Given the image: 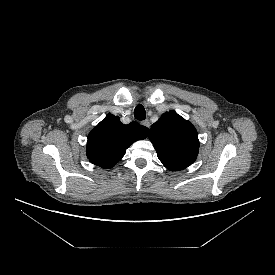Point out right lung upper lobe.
Wrapping results in <instances>:
<instances>
[{
	"mask_svg": "<svg viewBox=\"0 0 275 275\" xmlns=\"http://www.w3.org/2000/svg\"><path fill=\"white\" fill-rule=\"evenodd\" d=\"M149 129L133 121L121 123L118 116L108 114L88 135L87 157L102 168H112L135 141L147 137Z\"/></svg>",
	"mask_w": 275,
	"mask_h": 275,
	"instance_id": "obj_1",
	"label": "right lung upper lobe"
}]
</instances>
